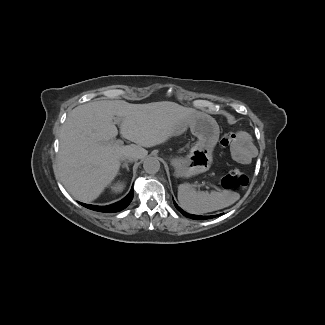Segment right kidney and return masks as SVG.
Instances as JSON below:
<instances>
[{"instance_id":"1","label":"right kidney","mask_w":325,"mask_h":325,"mask_svg":"<svg viewBox=\"0 0 325 325\" xmlns=\"http://www.w3.org/2000/svg\"><path fill=\"white\" fill-rule=\"evenodd\" d=\"M124 187H125L124 182H117L113 184L110 188L113 193H119L123 191Z\"/></svg>"}]
</instances>
